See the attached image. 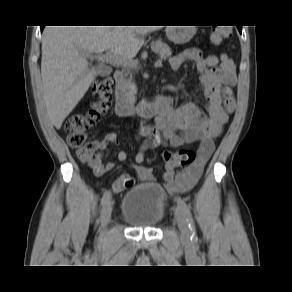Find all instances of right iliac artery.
<instances>
[{
  "label": "right iliac artery",
  "mask_w": 292,
  "mask_h": 292,
  "mask_svg": "<svg viewBox=\"0 0 292 292\" xmlns=\"http://www.w3.org/2000/svg\"><path fill=\"white\" fill-rule=\"evenodd\" d=\"M111 198V192L110 191H105L102 199H101V206H104Z\"/></svg>",
  "instance_id": "1"
}]
</instances>
